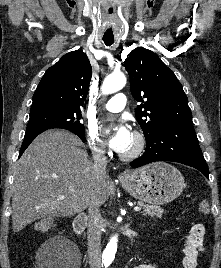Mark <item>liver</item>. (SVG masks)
<instances>
[{
	"mask_svg": "<svg viewBox=\"0 0 221 268\" xmlns=\"http://www.w3.org/2000/svg\"><path fill=\"white\" fill-rule=\"evenodd\" d=\"M79 138L65 130L40 134L14 168L12 228L21 231L44 217H67L82 212L93 201L102 205L113 183L97 176ZM64 199L59 200V197Z\"/></svg>",
	"mask_w": 221,
	"mask_h": 268,
	"instance_id": "6515ba94",
	"label": "liver"
}]
</instances>
